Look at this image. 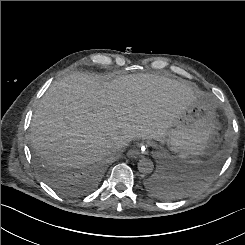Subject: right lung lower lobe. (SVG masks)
I'll return each mask as SVG.
<instances>
[{"label": "right lung lower lobe", "mask_w": 245, "mask_h": 245, "mask_svg": "<svg viewBox=\"0 0 245 245\" xmlns=\"http://www.w3.org/2000/svg\"><path fill=\"white\" fill-rule=\"evenodd\" d=\"M50 185L60 194L67 197H74L82 193V189L73 187L72 183L65 176L50 174L48 176Z\"/></svg>", "instance_id": "98d812e1"}]
</instances>
